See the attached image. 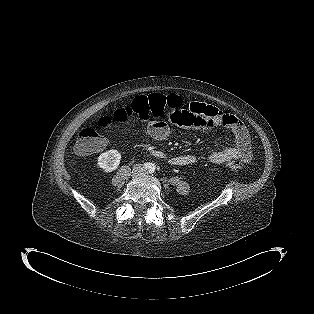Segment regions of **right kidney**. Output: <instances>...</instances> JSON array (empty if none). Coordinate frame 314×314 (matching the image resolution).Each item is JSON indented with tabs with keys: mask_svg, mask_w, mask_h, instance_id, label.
<instances>
[{
	"mask_svg": "<svg viewBox=\"0 0 314 314\" xmlns=\"http://www.w3.org/2000/svg\"><path fill=\"white\" fill-rule=\"evenodd\" d=\"M121 161V154L117 150H109L100 154L98 157V166L105 172L116 170Z\"/></svg>",
	"mask_w": 314,
	"mask_h": 314,
	"instance_id": "obj_1",
	"label": "right kidney"
}]
</instances>
